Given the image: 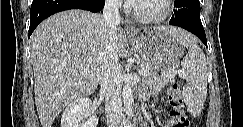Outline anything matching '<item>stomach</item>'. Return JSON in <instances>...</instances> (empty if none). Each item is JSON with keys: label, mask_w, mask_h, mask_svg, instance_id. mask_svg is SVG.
<instances>
[{"label": "stomach", "mask_w": 243, "mask_h": 127, "mask_svg": "<svg viewBox=\"0 0 243 127\" xmlns=\"http://www.w3.org/2000/svg\"><path fill=\"white\" fill-rule=\"evenodd\" d=\"M128 39L143 61L158 71L168 72L175 68L184 53L176 35L163 27L145 29Z\"/></svg>", "instance_id": "1"}]
</instances>
